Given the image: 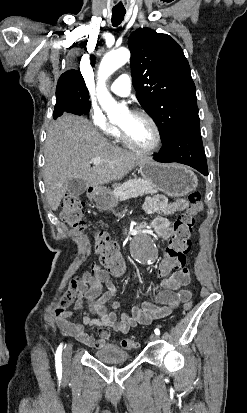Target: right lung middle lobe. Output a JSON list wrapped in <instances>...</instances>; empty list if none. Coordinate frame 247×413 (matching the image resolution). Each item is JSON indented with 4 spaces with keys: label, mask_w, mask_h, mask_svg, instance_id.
<instances>
[{
    "label": "right lung middle lobe",
    "mask_w": 247,
    "mask_h": 413,
    "mask_svg": "<svg viewBox=\"0 0 247 413\" xmlns=\"http://www.w3.org/2000/svg\"><path fill=\"white\" fill-rule=\"evenodd\" d=\"M56 100H71L81 106L85 113H88L91 107L88 89L84 81L58 82Z\"/></svg>",
    "instance_id": "dd1d6c3e"
}]
</instances>
